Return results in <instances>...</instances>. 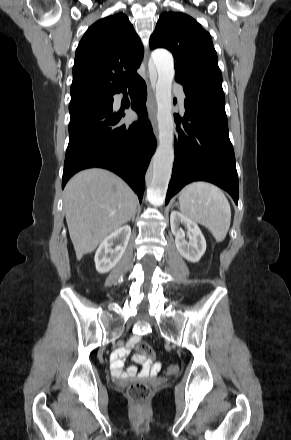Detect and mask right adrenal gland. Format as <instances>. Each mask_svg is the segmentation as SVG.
I'll use <instances>...</instances> for the list:
<instances>
[{
	"mask_svg": "<svg viewBox=\"0 0 291 440\" xmlns=\"http://www.w3.org/2000/svg\"><path fill=\"white\" fill-rule=\"evenodd\" d=\"M134 220H135V215L132 217V222H134Z\"/></svg>",
	"mask_w": 291,
	"mask_h": 440,
	"instance_id": "obj_1",
	"label": "right adrenal gland"
}]
</instances>
